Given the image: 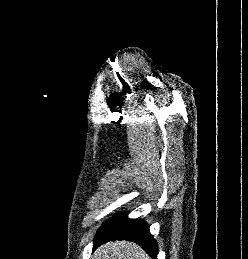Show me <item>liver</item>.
Returning <instances> with one entry per match:
<instances>
[{
    "instance_id": "1",
    "label": "liver",
    "mask_w": 248,
    "mask_h": 259,
    "mask_svg": "<svg viewBox=\"0 0 248 259\" xmlns=\"http://www.w3.org/2000/svg\"><path fill=\"white\" fill-rule=\"evenodd\" d=\"M92 259H151L145 251L133 242L112 241L101 245Z\"/></svg>"
}]
</instances>
